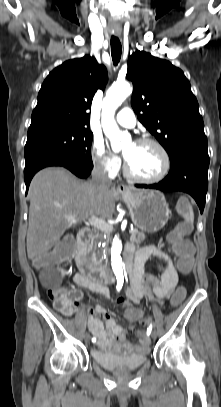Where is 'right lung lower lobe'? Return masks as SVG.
Instances as JSON below:
<instances>
[{"label":"right lung lower lobe","mask_w":221,"mask_h":407,"mask_svg":"<svg viewBox=\"0 0 221 407\" xmlns=\"http://www.w3.org/2000/svg\"><path fill=\"white\" fill-rule=\"evenodd\" d=\"M49 166H63L80 178L88 177L93 168L74 162L72 159L57 152H39L25 159L24 180L26 184V194L34 174L40 169Z\"/></svg>","instance_id":"1"}]
</instances>
